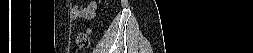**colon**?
Returning a JSON list of instances; mask_svg holds the SVG:
<instances>
[{
	"label": "colon",
	"instance_id": "1",
	"mask_svg": "<svg viewBox=\"0 0 253 53\" xmlns=\"http://www.w3.org/2000/svg\"><path fill=\"white\" fill-rule=\"evenodd\" d=\"M90 34L91 31L87 30L85 32H80L76 36V46L79 49H85L90 44Z\"/></svg>",
	"mask_w": 253,
	"mask_h": 53
}]
</instances>
